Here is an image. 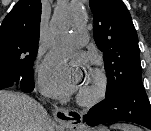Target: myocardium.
I'll list each match as a JSON object with an SVG mask.
<instances>
[{
  "instance_id": "f54148a6",
  "label": "myocardium",
  "mask_w": 151,
  "mask_h": 131,
  "mask_svg": "<svg viewBox=\"0 0 151 131\" xmlns=\"http://www.w3.org/2000/svg\"><path fill=\"white\" fill-rule=\"evenodd\" d=\"M93 87L88 92L77 95V101L82 106H94L101 102L108 92V78L104 71L93 69L90 73Z\"/></svg>"
}]
</instances>
